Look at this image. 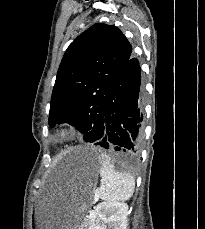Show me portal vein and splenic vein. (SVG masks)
Listing matches in <instances>:
<instances>
[{
	"label": "portal vein and splenic vein",
	"instance_id": "18ae733b",
	"mask_svg": "<svg viewBox=\"0 0 205 229\" xmlns=\"http://www.w3.org/2000/svg\"><path fill=\"white\" fill-rule=\"evenodd\" d=\"M94 200L97 201V198L95 197ZM92 214H93V211H90L88 217H90Z\"/></svg>",
	"mask_w": 205,
	"mask_h": 229
}]
</instances>
